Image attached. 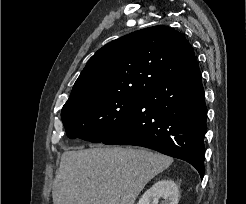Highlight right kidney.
Listing matches in <instances>:
<instances>
[{"mask_svg": "<svg viewBox=\"0 0 246 204\" xmlns=\"http://www.w3.org/2000/svg\"><path fill=\"white\" fill-rule=\"evenodd\" d=\"M160 198L163 199L162 204H178L179 191L174 181H157L142 195L137 204H158Z\"/></svg>", "mask_w": 246, "mask_h": 204, "instance_id": "1", "label": "right kidney"}]
</instances>
